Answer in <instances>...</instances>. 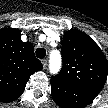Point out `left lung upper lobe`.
I'll return each mask as SVG.
<instances>
[{"label":"left lung upper lobe","mask_w":108,"mask_h":108,"mask_svg":"<svg viewBox=\"0 0 108 108\" xmlns=\"http://www.w3.org/2000/svg\"><path fill=\"white\" fill-rule=\"evenodd\" d=\"M63 67L51 79L102 89L108 77V61L90 36L78 30L66 31L61 48Z\"/></svg>","instance_id":"obj_1"}]
</instances>
